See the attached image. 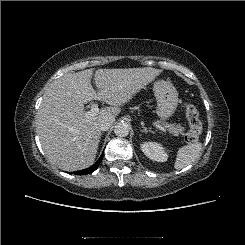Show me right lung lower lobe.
<instances>
[{
	"label": "right lung lower lobe",
	"instance_id": "obj_1",
	"mask_svg": "<svg viewBox=\"0 0 245 245\" xmlns=\"http://www.w3.org/2000/svg\"><path fill=\"white\" fill-rule=\"evenodd\" d=\"M102 158H103V154L101 155V157L99 158V160L92 167H90V168H88L86 170H83L81 172H76L75 174L85 175V174H88V173H92L93 171H95L98 168V166H99Z\"/></svg>",
	"mask_w": 245,
	"mask_h": 245
}]
</instances>
